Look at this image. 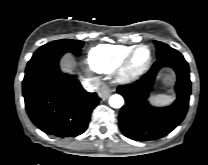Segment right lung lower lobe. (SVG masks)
Instances as JSON below:
<instances>
[{"mask_svg":"<svg viewBox=\"0 0 208 165\" xmlns=\"http://www.w3.org/2000/svg\"><path fill=\"white\" fill-rule=\"evenodd\" d=\"M66 50L58 49L31 58L23 79V96L31 121L45 133L70 137L88 127L92 110L101 100L85 91L75 76L59 69Z\"/></svg>","mask_w":208,"mask_h":165,"instance_id":"98d812e1","label":"right lung lower lobe"}]
</instances>
